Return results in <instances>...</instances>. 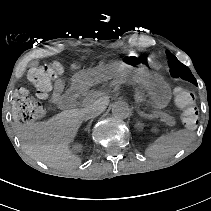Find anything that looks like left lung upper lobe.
Wrapping results in <instances>:
<instances>
[{
	"mask_svg": "<svg viewBox=\"0 0 211 211\" xmlns=\"http://www.w3.org/2000/svg\"><path fill=\"white\" fill-rule=\"evenodd\" d=\"M168 57V64L170 67V74L174 78H182L186 81L197 85L196 79L191 73L190 69L182 64L172 53L166 51Z\"/></svg>",
	"mask_w": 211,
	"mask_h": 211,
	"instance_id": "left-lung-upper-lobe-1",
	"label": "left lung upper lobe"
}]
</instances>
